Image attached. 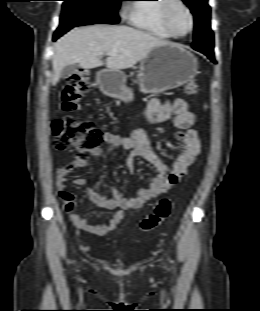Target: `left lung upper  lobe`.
<instances>
[{"label":"left lung upper lobe","mask_w":260,"mask_h":311,"mask_svg":"<svg viewBox=\"0 0 260 311\" xmlns=\"http://www.w3.org/2000/svg\"><path fill=\"white\" fill-rule=\"evenodd\" d=\"M195 18L194 42L192 47L213 50V32L210 27V7L208 0H183Z\"/></svg>","instance_id":"5c2ea615"}]
</instances>
